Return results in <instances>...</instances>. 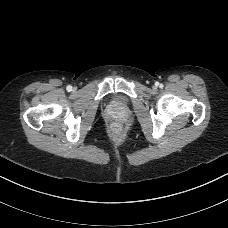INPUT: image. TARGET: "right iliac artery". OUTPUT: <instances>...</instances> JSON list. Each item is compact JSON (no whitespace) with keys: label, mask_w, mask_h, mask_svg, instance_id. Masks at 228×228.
Masks as SVG:
<instances>
[{"label":"right iliac artery","mask_w":228,"mask_h":228,"mask_svg":"<svg viewBox=\"0 0 228 228\" xmlns=\"http://www.w3.org/2000/svg\"><path fill=\"white\" fill-rule=\"evenodd\" d=\"M66 89H67L68 92H70L72 90V86L68 85Z\"/></svg>","instance_id":"obj_1"}]
</instances>
